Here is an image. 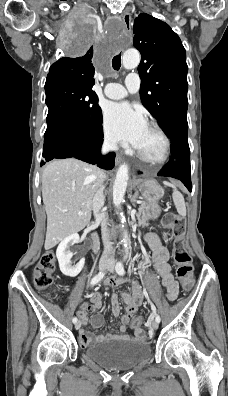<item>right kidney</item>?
Listing matches in <instances>:
<instances>
[{
    "label": "right kidney",
    "mask_w": 228,
    "mask_h": 396,
    "mask_svg": "<svg viewBox=\"0 0 228 396\" xmlns=\"http://www.w3.org/2000/svg\"><path fill=\"white\" fill-rule=\"evenodd\" d=\"M79 242V235L72 234L66 237L57 247L56 256L59 262L61 272L69 277L77 276L85 263V259L82 258L76 265L72 266L71 259L73 253L69 250V246Z\"/></svg>",
    "instance_id": "1"
}]
</instances>
